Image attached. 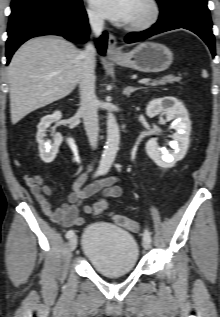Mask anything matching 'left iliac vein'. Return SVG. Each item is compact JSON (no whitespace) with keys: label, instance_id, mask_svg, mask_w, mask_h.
<instances>
[{"label":"left iliac vein","instance_id":"1","mask_svg":"<svg viewBox=\"0 0 220 317\" xmlns=\"http://www.w3.org/2000/svg\"><path fill=\"white\" fill-rule=\"evenodd\" d=\"M142 245H143L144 249H146V250H149L151 248V243L146 239H143Z\"/></svg>","mask_w":220,"mask_h":317}]
</instances>
